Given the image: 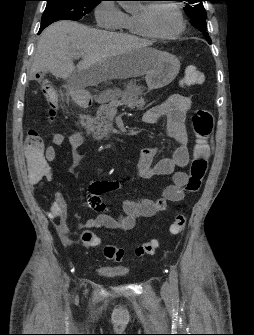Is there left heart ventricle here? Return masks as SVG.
<instances>
[{
    "label": "left heart ventricle",
    "instance_id": "left-heart-ventricle-1",
    "mask_svg": "<svg viewBox=\"0 0 254 335\" xmlns=\"http://www.w3.org/2000/svg\"><path fill=\"white\" fill-rule=\"evenodd\" d=\"M151 21L153 27L163 34L173 33L179 27V19L176 12L167 5L157 6L152 13Z\"/></svg>",
    "mask_w": 254,
    "mask_h": 335
}]
</instances>
